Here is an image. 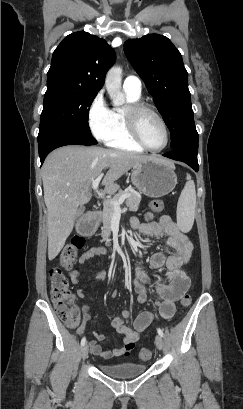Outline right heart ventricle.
<instances>
[{
  "instance_id": "1",
  "label": "right heart ventricle",
  "mask_w": 243,
  "mask_h": 409,
  "mask_svg": "<svg viewBox=\"0 0 243 409\" xmlns=\"http://www.w3.org/2000/svg\"><path fill=\"white\" fill-rule=\"evenodd\" d=\"M125 95L129 103L139 102L140 100V95H135L127 91H125ZM114 113L118 120V129L116 133L113 135V137L107 141L108 145L112 148L122 149V150H127V151H134V152L143 151V148L139 146L137 143H135L128 133L125 119L123 116V110L116 109Z\"/></svg>"
}]
</instances>
